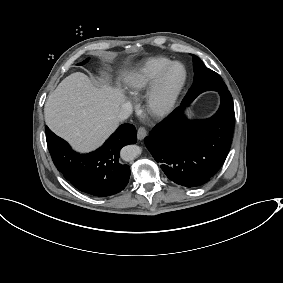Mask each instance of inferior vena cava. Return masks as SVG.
Returning <instances> with one entry per match:
<instances>
[{"label": "inferior vena cava", "mask_w": 283, "mask_h": 283, "mask_svg": "<svg viewBox=\"0 0 283 283\" xmlns=\"http://www.w3.org/2000/svg\"><path fill=\"white\" fill-rule=\"evenodd\" d=\"M132 113V107L128 102H124L121 105L120 111L118 113L119 120H124L130 117Z\"/></svg>", "instance_id": "602c4592"}]
</instances>
